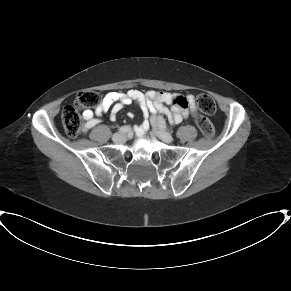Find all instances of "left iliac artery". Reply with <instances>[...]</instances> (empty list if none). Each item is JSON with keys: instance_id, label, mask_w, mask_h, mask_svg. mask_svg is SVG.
Instances as JSON below:
<instances>
[{"instance_id": "1", "label": "left iliac artery", "mask_w": 291, "mask_h": 291, "mask_svg": "<svg viewBox=\"0 0 291 291\" xmlns=\"http://www.w3.org/2000/svg\"><path fill=\"white\" fill-rule=\"evenodd\" d=\"M161 127H165V122H161Z\"/></svg>"}]
</instances>
